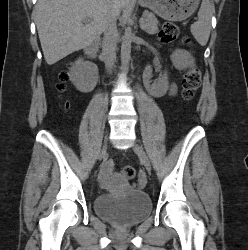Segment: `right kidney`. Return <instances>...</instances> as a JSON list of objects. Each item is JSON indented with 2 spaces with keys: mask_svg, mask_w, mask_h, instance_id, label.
I'll list each match as a JSON object with an SVG mask.
<instances>
[{
  "mask_svg": "<svg viewBox=\"0 0 248 250\" xmlns=\"http://www.w3.org/2000/svg\"><path fill=\"white\" fill-rule=\"evenodd\" d=\"M68 76L77 90L88 93L96 87L98 82V68L96 65L79 58L70 68Z\"/></svg>",
  "mask_w": 248,
  "mask_h": 250,
  "instance_id": "obj_1",
  "label": "right kidney"
}]
</instances>
